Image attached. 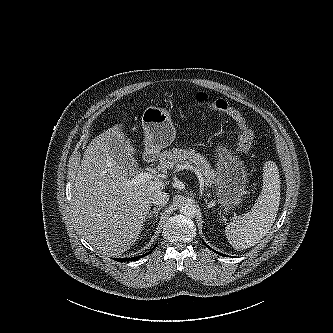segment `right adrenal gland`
I'll return each mask as SVG.
<instances>
[{
    "mask_svg": "<svg viewBox=\"0 0 333 333\" xmlns=\"http://www.w3.org/2000/svg\"><path fill=\"white\" fill-rule=\"evenodd\" d=\"M161 210V207H158V208H153L152 210H150L147 214V218H151L153 217V215L156 217L157 219V216H158V213L159 211Z\"/></svg>",
    "mask_w": 333,
    "mask_h": 333,
    "instance_id": "right-adrenal-gland-1",
    "label": "right adrenal gland"
}]
</instances>
